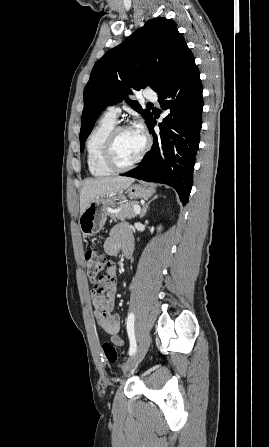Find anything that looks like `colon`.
I'll return each mask as SVG.
<instances>
[{
	"instance_id": "colon-1",
	"label": "colon",
	"mask_w": 269,
	"mask_h": 447,
	"mask_svg": "<svg viewBox=\"0 0 269 447\" xmlns=\"http://www.w3.org/2000/svg\"><path fill=\"white\" fill-rule=\"evenodd\" d=\"M107 262V255L102 251L90 249L85 252L84 263L87 279L91 282L101 280V275ZM101 349L107 361L113 363L118 359V351L115 345L109 341H104Z\"/></svg>"
}]
</instances>
